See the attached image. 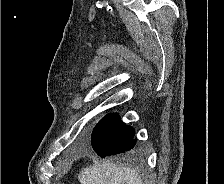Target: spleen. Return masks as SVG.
Returning a JSON list of instances; mask_svg holds the SVG:
<instances>
[{"mask_svg":"<svg viewBox=\"0 0 224 184\" xmlns=\"http://www.w3.org/2000/svg\"><path fill=\"white\" fill-rule=\"evenodd\" d=\"M78 180L81 184H143L134 169L114 163L86 167L79 173Z\"/></svg>","mask_w":224,"mask_h":184,"instance_id":"3e777b00","label":"spleen"}]
</instances>
